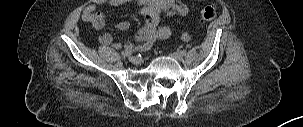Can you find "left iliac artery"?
Wrapping results in <instances>:
<instances>
[{
  "label": "left iliac artery",
  "instance_id": "obj_1",
  "mask_svg": "<svg viewBox=\"0 0 303 127\" xmlns=\"http://www.w3.org/2000/svg\"><path fill=\"white\" fill-rule=\"evenodd\" d=\"M179 54H180L181 56H186L187 52H186V50H181V51L179 52Z\"/></svg>",
  "mask_w": 303,
  "mask_h": 127
}]
</instances>
